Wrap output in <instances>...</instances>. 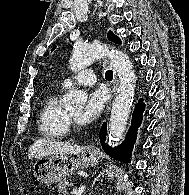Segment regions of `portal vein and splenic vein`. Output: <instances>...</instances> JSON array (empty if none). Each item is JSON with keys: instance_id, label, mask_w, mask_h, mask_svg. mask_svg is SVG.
<instances>
[{"instance_id": "portal-vein-and-splenic-vein-1", "label": "portal vein and splenic vein", "mask_w": 189, "mask_h": 195, "mask_svg": "<svg viewBox=\"0 0 189 195\" xmlns=\"http://www.w3.org/2000/svg\"><path fill=\"white\" fill-rule=\"evenodd\" d=\"M85 190V186L80 187L78 190L73 191V194L75 195H81Z\"/></svg>"}]
</instances>
